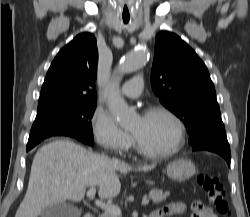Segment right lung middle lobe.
Returning a JSON list of instances; mask_svg holds the SVG:
<instances>
[{"mask_svg": "<svg viewBox=\"0 0 250 217\" xmlns=\"http://www.w3.org/2000/svg\"><path fill=\"white\" fill-rule=\"evenodd\" d=\"M96 102H82L37 112L26 150L51 136H69L93 145L91 118Z\"/></svg>", "mask_w": 250, "mask_h": 217, "instance_id": "obj_1", "label": "right lung middle lobe"}]
</instances>
